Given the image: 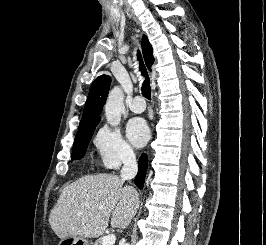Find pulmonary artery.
Returning a JSON list of instances; mask_svg holds the SVG:
<instances>
[{
	"label": "pulmonary artery",
	"instance_id": "1",
	"mask_svg": "<svg viewBox=\"0 0 266 245\" xmlns=\"http://www.w3.org/2000/svg\"><path fill=\"white\" fill-rule=\"evenodd\" d=\"M141 96H136L132 101L129 102V109L134 113H142L146 109V105Z\"/></svg>",
	"mask_w": 266,
	"mask_h": 245
}]
</instances>
